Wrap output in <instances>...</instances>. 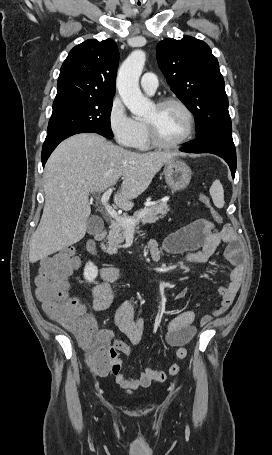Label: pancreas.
I'll return each mask as SVG.
<instances>
[{
	"instance_id": "pancreas-1",
	"label": "pancreas",
	"mask_w": 272,
	"mask_h": 455,
	"mask_svg": "<svg viewBox=\"0 0 272 455\" xmlns=\"http://www.w3.org/2000/svg\"><path fill=\"white\" fill-rule=\"evenodd\" d=\"M169 210L170 209L167 203L163 202L158 205L146 207L144 209L136 211L130 218L137 220L136 224L133 226V230L137 229L139 221H141L142 224L155 223L159 219H162ZM143 213L144 215H142ZM127 232L128 229L123 227L120 223H114L107 237L108 247L104 248L105 252L110 255L116 254L118 248H121V243L124 242Z\"/></svg>"
}]
</instances>
